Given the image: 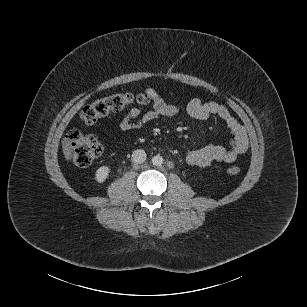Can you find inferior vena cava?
<instances>
[{
	"label": "inferior vena cava",
	"instance_id": "inferior-vena-cava-1",
	"mask_svg": "<svg viewBox=\"0 0 307 307\" xmlns=\"http://www.w3.org/2000/svg\"><path fill=\"white\" fill-rule=\"evenodd\" d=\"M146 160V153L142 149L134 150L132 153V161L136 164H141Z\"/></svg>",
	"mask_w": 307,
	"mask_h": 307
}]
</instances>
